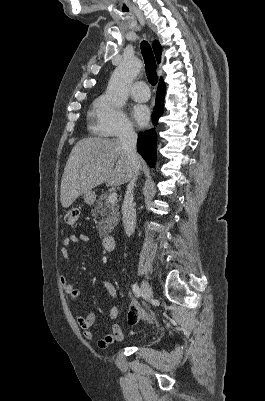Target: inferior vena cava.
<instances>
[{"mask_svg":"<svg viewBox=\"0 0 265 401\" xmlns=\"http://www.w3.org/2000/svg\"><path fill=\"white\" fill-rule=\"evenodd\" d=\"M119 140L127 152L128 160L131 166L130 182L127 184V190L122 205L123 225L128 237L134 233L136 227V211L133 207V188L139 174L140 156L136 152L137 134L134 132L132 124H123L119 134Z\"/></svg>","mask_w":265,"mask_h":401,"instance_id":"obj_1","label":"inferior vena cava"}]
</instances>
